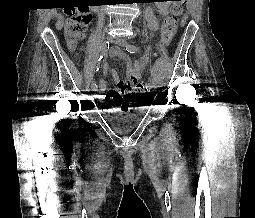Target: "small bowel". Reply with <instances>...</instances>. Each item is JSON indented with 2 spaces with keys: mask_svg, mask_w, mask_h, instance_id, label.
Here are the masks:
<instances>
[{
  "mask_svg": "<svg viewBox=\"0 0 255 218\" xmlns=\"http://www.w3.org/2000/svg\"><path fill=\"white\" fill-rule=\"evenodd\" d=\"M156 7L158 9L159 16H165L170 12L167 0H158L156 3ZM145 17L148 22L150 35L153 36L157 32L160 24V19L158 16L155 15L153 6H148L146 8ZM111 55L123 60L127 64V79L120 80L117 72L112 69L111 76L113 80L117 83V89L111 90L107 89L106 81L104 79H100L98 85L99 90L107 91L106 94L101 97L103 99L101 108L107 113H114L116 112V107H123L128 105L127 97L130 94L125 91V87L133 86L139 83V80L142 77V73L149 63L148 55H144L139 60L132 61L126 54H124L117 48L111 51ZM108 68V63H105L103 66L104 72H107Z\"/></svg>",
  "mask_w": 255,
  "mask_h": 218,
  "instance_id": "small-bowel-1",
  "label": "small bowel"
}]
</instances>
